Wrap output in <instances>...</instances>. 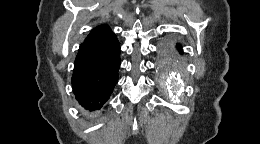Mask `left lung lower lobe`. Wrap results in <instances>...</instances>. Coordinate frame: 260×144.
I'll return each instance as SVG.
<instances>
[{"label": "left lung lower lobe", "mask_w": 260, "mask_h": 144, "mask_svg": "<svg viewBox=\"0 0 260 144\" xmlns=\"http://www.w3.org/2000/svg\"><path fill=\"white\" fill-rule=\"evenodd\" d=\"M176 48L179 50L180 53H182L181 46L179 44L176 45Z\"/></svg>", "instance_id": "left-lung-lower-lobe-1"}]
</instances>
